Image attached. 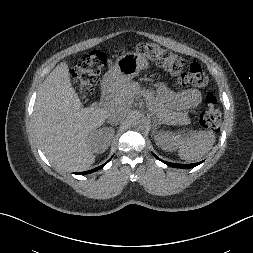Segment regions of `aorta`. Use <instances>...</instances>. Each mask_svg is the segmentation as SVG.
<instances>
[{"label":"aorta","mask_w":253,"mask_h":253,"mask_svg":"<svg viewBox=\"0 0 253 253\" xmlns=\"http://www.w3.org/2000/svg\"><path fill=\"white\" fill-rule=\"evenodd\" d=\"M133 123L136 126H143L146 123V118L139 112L134 114Z\"/></svg>","instance_id":"762f6f07"}]
</instances>
